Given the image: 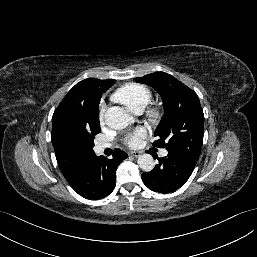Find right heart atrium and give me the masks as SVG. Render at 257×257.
Returning a JSON list of instances; mask_svg holds the SVG:
<instances>
[{
    "instance_id": "right-heart-atrium-1",
    "label": "right heart atrium",
    "mask_w": 257,
    "mask_h": 257,
    "mask_svg": "<svg viewBox=\"0 0 257 257\" xmlns=\"http://www.w3.org/2000/svg\"><path fill=\"white\" fill-rule=\"evenodd\" d=\"M103 112H104V108H102V114H101V118L103 117Z\"/></svg>"
}]
</instances>
